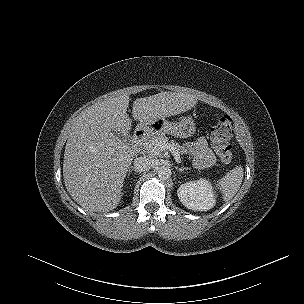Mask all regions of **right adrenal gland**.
Instances as JSON below:
<instances>
[{"label": "right adrenal gland", "instance_id": "1", "mask_svg": "<svg viewBox=\"0 0 304 304\" xmlns=\"http://www.w3.org/2000/svg\"><path fill=\"white\" fill-rule=\"evenodd\" d=\"M132 171L137 172L133 167L129 168V170H128V177L130 176V174L132 173Z\"/></svg>", "mask_w": 304, "mask_h": 304}]
</instances>
